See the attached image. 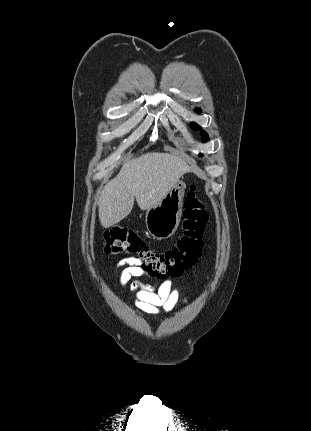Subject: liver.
<instances>
[{"label": "liver", "mask_w": 311, "mask_h": 431, "mask_svg": "<svg viewBox=\"0 0 311 431\" xmlns=\"http://www.w3.org/2000/svg\"><path fill=\"white\" fill-rule=\"evenodd\" d=\"M189 172H192L190 166L172 154L149 152L128 160L101 192L98 202L101 225L112 227L129 216L135 200L140 210L154 208Z\"/></svg>", "instance_id": "1"}]
</instances>
